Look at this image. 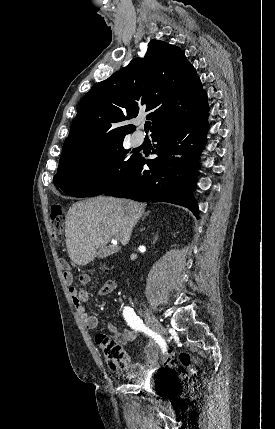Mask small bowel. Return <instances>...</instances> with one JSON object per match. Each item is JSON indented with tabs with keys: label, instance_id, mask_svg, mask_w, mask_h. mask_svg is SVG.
Instances as JSON below:
<instances>
[{
	"label": "small bowel",
	"instance_id": "c3829d8e",
	"mask_svg": "<svg viewBox=\"0 0 275 429\" xmlns=\"http://www.w3.org/2000/svg\"><path fill=\"white\" fill-rule=\"evenodd\" d=\"M64 279L69 286V291L72 297L74 307L79 314L83 324L89 330H94L98 327L99 321L98 318L94 315H91L86 310V302L88 301L89 294L86 290H78L73 285L74 275L68 269L64 272ZM79 281L82 284H88L91 281V277L88 274H80ZM116 289V283L113 280L106 281L99 292L101 295H108ZM108 329L110 332L114 333L118 339L124 342H133L138 338V332L134 329H122L120 330L118 326L114 323L108 324ZM162 348L160 345L153 339H148L144 345V353L146 356V364L141 365L139 363L130 364L126 368V375L128 377L137 378L146 374V372L156 370L158 368V359L160 351ZM163 351V350H162ZM164 352V351H163Z\"/></svg>",
	"mask_w": 275,
	"mask_h": 429
}]
</instances>
